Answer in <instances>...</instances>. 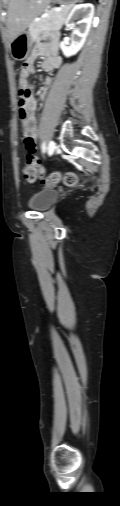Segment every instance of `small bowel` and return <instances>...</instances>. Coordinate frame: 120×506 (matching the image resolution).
I'll return each instance as SVG.
<instances>
[{
    "label": "small bowel",
    "instance_id": "1",
    "mask_svg": "<svg viewBox=\"0 0 120 506\" xmlns=\"http://www.w3.org/2000/svg\"><path fill=\"white\" fill-rule=\"evenodd\" d=\"M38 56H43L42 69L44 71H52L58 68L61 64V58L58 55V43L55 36H52L50 41H39L29 58L23 64L24 70L20 71L19 86H23L30 90V95L26 99L25 106L20 111V120L22 124V131L26 136L37 139L38 128L35 117V98L33 96L28 77L34 73V61ZM51 79L45 78L40 90V97L45 99L48 88L51 85Z\"/></svg>",
    "mask_w": 120,
    "mask_h": 506
}]
</instances>
